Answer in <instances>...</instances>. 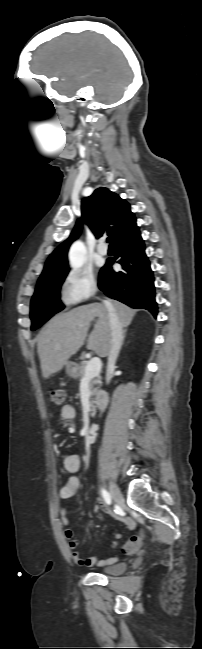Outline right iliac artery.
Returning <instances> with one entry per match:
<instances>
[{
    "instance_id": "82829eb1",
    "label": "right iliac artery",
    "mask_w": 202,
    "mask_h": 649,
    "mask_svg": "<svg viewBox=\"0 0 202 649\" xmlns=\"http://www.w3.org/2000/svg\"><path fill=\"white\" fill-rule=\"evenodd\" d=\"M101 493H102V496H103L104 501L106 502V504L110 505L112 503V499H111L110 494L105 489H102Z\"/></svg>"
}]
</instances>
